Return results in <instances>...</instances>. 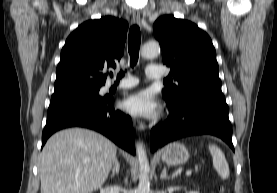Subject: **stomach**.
Here are the masks:
<instances>
[{"label":"stomach","mask_w":277,"mask_h":193,"mask_svg":"<svg viewBox=\"0 0 277 193\" xmlns=\"http://www.w3.org/2000/svg\"><path fill=\"white\" fill-rule=\"evenodd\" d=\"M188 158L189 153L187 148L179 142H174L167 145L162 150L161 154L162 161L168 165L173 166L184 164L187 162Z\"/></svg>","instance_id":"stomach-1"}]
</instances>
